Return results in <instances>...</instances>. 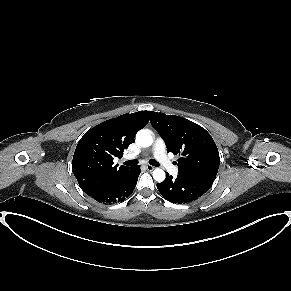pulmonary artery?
I'll use <instances>...</instances> for the list:
<instances>
[{
    "label": "pulmonary artery",
    "mask_w": 291,
    "mask_h": 291,
    "mask_svg": "<svg viewBox=\"0 0 291 291\" xmlns=\"http://www.w3.org/2000/svg\"><path fill=\"white\" fill-rule=\"evenodd\" d=\"M155 158L159 161L162 167H164L171 175L177 176L178 168L169 160L166 155V146L161 138H158L152 149Z\"/></svg>",
    "instance_id": "pulmonary-artery-1"
}]
</instances>
